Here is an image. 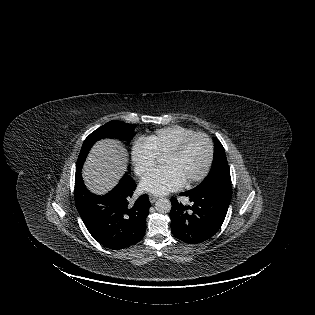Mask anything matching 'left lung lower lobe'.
<instances>
[{
    "label": "left lung lower lobe",
    "instance_id": "left-lung-lower-lobe-1",
    "mask_svg": "<svg viewBox=\"0 0 315 315\" xmlns=\"http://www.w3.org/2000/svg\"><path fill=\"white\" fill-rule=\"evenodd\" d=\"M180 195L189 197L193 205L187 207L171 199L172 234L186 243H201L211 238L225 219L232 193L195 187Z\"/></svg>",
    "mask_w": 315,
    "mask_h": 315
}]
</instances>
